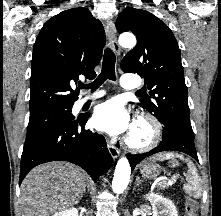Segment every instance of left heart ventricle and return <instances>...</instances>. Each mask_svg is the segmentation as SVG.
<instances>
[{
	"label": "left heart ventricle",
	"mask_w": 221,
	"mask_h": 216,
	"mask_svg": "<svg viewBox=\"0 0 221 216\" xmlns=\"http://www.w3.org/2000/svg\"><path fill=\"white\" fill-rule=\"evenodd\" d=\"M131 135L135 141H143L148 136V131L144 125H133Z\"/></svg>",
	"instance_id": "b2bd125f"
}]
</instances>
